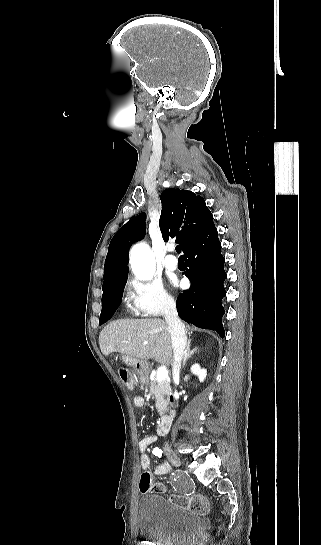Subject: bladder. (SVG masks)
<instances>
[{"instance_id": "bladder-1", "label": "bladder", "mask_w": 321, "mask_h": 545, "mask_svg": "<svg viewBox=\"0 0 321 545\" xmlns=\"http://www.w3.org/2000/svg\"><path fill=\"white\" fill-rule=\"evenodd\" d=\"M137 515L140 535L156 545H192L204 530L199 513L177 505L159 492L140 498Z\"/></svg>"}]
</instances>
